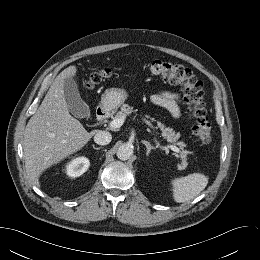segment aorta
Wrapping results in <instances>:
<instances>
[{"instance_id":"1","label":"aorta","mask_w":260,"mask_h":260,"mask_svg":"<svg viewBox=\"0 0 260 260\" xmlns=\"http://www.w3.org/2000/svg\"><path fill=\"white\" fill-rule=\"evenodd\" d=\"M133 154V147L130 144H122L117 150V157L120 160H128Z\"/></svg>"}]
</instances>
